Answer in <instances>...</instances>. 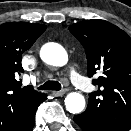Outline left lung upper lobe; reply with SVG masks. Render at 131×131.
<instances>
[{
	"label": "left lung upper lobe",
	"mask_w": 131,
	"mask_h": 131,
	"mask_svg": "<svg viewBox=\"0 0 131 131\" xmlns=\"http://www.w3.org/2000/svg\"><path fill=\"white\" fill-rule=\"evenodd\" d=\"M83 45L87 75L98 90L89 94L85 110L109 131L131 127V38L105 20H85L69 27Z\"/></svg>",
	"instance_id": "left-lung-upper-lobe-1"
}]
</instances>
